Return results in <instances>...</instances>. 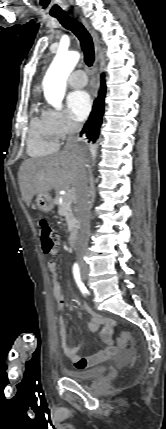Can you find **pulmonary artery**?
<instances>
[{"instance_id":"1","label":"pulmonary artery","mask_w":166,"mask_h":429,"mask_svg":"<svg viewBox=\"0 0 166 429\" xmlns=\"http://www.w3.org/2000/svg\"><path fill=\"white\" fill-rule=\"evenodd\" d=\"M68 83L75 88L83 87L87 84V76L83 70H76L70 75Z\"/></svg>"}]
</instances>
